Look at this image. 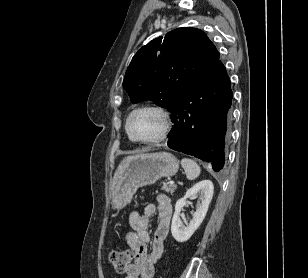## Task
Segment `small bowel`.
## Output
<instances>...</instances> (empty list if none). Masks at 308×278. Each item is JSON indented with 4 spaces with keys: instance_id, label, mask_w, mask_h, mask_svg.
Here are the masks:
<instances>
[{
    "instance_id": "obj_1",
    "label": "small bowel",
    "mask_w": 308,
    "mask_h": 278,
    "mask_svg": "<svg viewBox=\"0 0 308 278\" xmlns=\"http://www.w3.org/2000/svg\"><path fill=\"white\" fill-rule=\"evenodd\" d=\"M157 213L158 223L153 239L148 231L151 217ZM172 215L170 198L165 194L156 197V204H148L140 215L134 211L129 216L131 231L126 234V242L134 253L133 262L125 271L124 278H153L155 265L162 256ZM151 245L148 251V245Z\"/></svg>"
}]
</instances>
